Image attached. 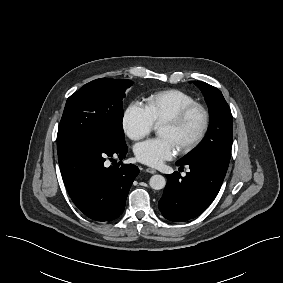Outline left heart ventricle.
I'll list each match as a JSON object with an SVG mask.
<instances>
[{
	"label": "left heart ventricle",
	"instance_id": "1",
	"mask_svg": "<svg viewBox=\"0 0 283 283\" xmlns=\"http://www.w3.org/2000/svg\"><path fill=\"white\" fill-rule=\"evenodd\" d=\"M202 117L199 112H194L186 123L179 129H174L168 125H161L159 135L162 138L171 140L176 147L192 139L200 129Z\"/></svg>",
	"mask_w": 283,
	"mask_h": 283
}]
</instances>
